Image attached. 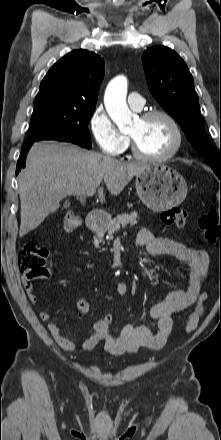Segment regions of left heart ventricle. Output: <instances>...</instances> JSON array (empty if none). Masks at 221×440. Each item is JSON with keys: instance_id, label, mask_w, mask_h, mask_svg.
<instances>
[{"instance_id": "b2bd125f", "label": "left heart ventricle", "mask_w": 221, "mask_h": 440, "mask_svg": "<svg viewBox=\"0 0 221 440\" xmlns=\"http://www.w3.org/2000/svg\"><path fill=\"white\" fill-rule=\"evenodd\" d=\"M139 149L147 155L160 156L170 151L174 144V132L170 123L157 116L139 119L130 131Z\"/></svg>"}]
</instances>
